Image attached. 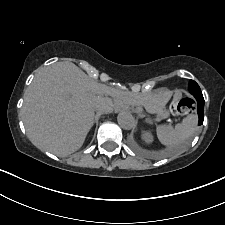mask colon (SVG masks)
Wrapping results in <instances>:
<instances>
[{
    "mask_svg": "<svg viewBox=\"0 0 225 225\" xmlns=\"http://www.w3.org/2000/svg\"><path fill=\"white\" fill-rule=\"evenodd\" d=\"M196 109V102L191 97H183L182 94L177 91L174 94V99L171 104V110L175 114L188 115L192 114Z\"/></svg>",
    "mask_w": 225,
    "mask_h": 225,
    "instance_id": "obj_1",
    "label": "colon"
}]
</instances>
